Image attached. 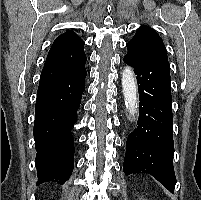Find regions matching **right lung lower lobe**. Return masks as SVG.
I'll list each match as a JSON object with an SVG mask.
<instances>
[{"mask_svg": "<svg viewBox=\"0 0 201 200\" xmlns=\"http://www.w3.org/2000/svg\"><path fill=\"white\" fill-rule=\"evenodd\" d=\"M87 71L54 81L40 83L35 105L34 140L37 185L44 182L64 184L74 166V139L71 129L85 90Z\"/></svg>", "mask_w": 201, "mask_h": 200, "instance_id": "1", "label": "right lung lower lobe"}]
</instances>
